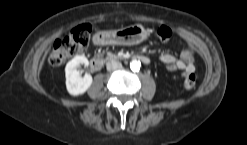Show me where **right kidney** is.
<instances>
[{
  "label": "right kidney",
  "mask_w": 247,
  "mask_h": 145,
  "mask_svg": "<svg viewBox=\"0 0 247 145\" xmlns=\"http://www.w3.org/2000/svg\"><path fill=\"white\" fill-rule=\"evenodd\" d=\"M88 59L83 55L75 56L65 68L66 88L70 95L78 96L84 94L91 86L93 79L90 74L82 77L77 70L80 65L88 66Z\"/></svg>",
  "instance_id": "ca27d5eb"
}]
</instances>
